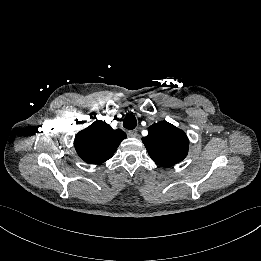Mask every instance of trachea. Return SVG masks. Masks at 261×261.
Segmentation results:
<instances>
[{
    "instance_id": "obj_1",
    "label": "trachea",
    "mask_w": 261,
    "mask_h": 261,
    "mask_svg": "<svg viewBox=\"0 0 261 261\" xmlns=\"http://www.w3.org/2000/svg\"><path fill=\"white\" fill-rule=\"evenodd\" d=\"M137 125L136 117L133 114L127 115L123 120V126L128 130H133Z\"/></svg>"
}]
</instances>
